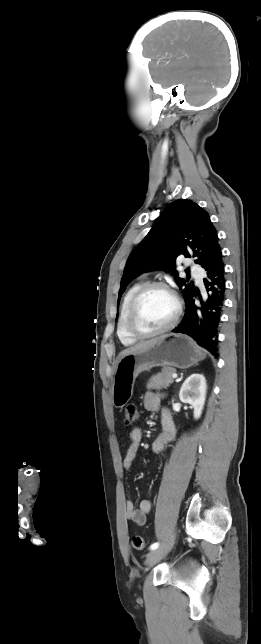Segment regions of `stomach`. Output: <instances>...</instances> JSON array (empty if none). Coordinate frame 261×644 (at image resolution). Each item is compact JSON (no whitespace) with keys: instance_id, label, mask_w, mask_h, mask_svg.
Returning <instances> with one entry per match:
<instances>
[{"instance_id":"stomach-1","label":"stomach","mask_w":261,"mask_h":644,"mask_svg":"<svg viewBox=\"0 0 261 644\" xmlns=\"http://www.w3.org/2000/svg\"><path fill=\"white\" fill-rule=\"evenodd\" d=\"M204 351L188 336L167 334L146 349L120 359L113 378L112 401L116 408L125 406L133 395L135 379L157 366L187 369L204 359Z\"/></svg>"}]
</instances>
